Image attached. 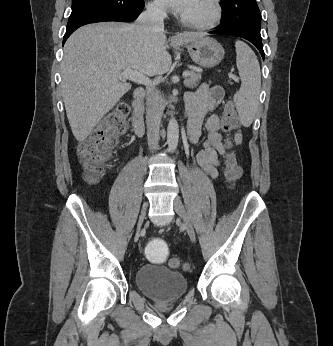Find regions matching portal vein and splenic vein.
I'll list each match as a JSON object with an SVG mask.
<instances>
[{
    "instance_id": "1",
    "label": "portal vein and splenic vein",
    "mask_w": 333,
    "mask_h": 346,
    "mask_svg": "<svg viewBox=\"0 0 333 346\" xmlns=\"http://www.w3.org/2000/svg\"><path fill=\"white\" fill-rule=\"evenodd\" d=\"M189 76V72L188 71H185L183 72V77L184 78H187ZM120 77L123 78V79H129L133 82H136V83H139V84H142V85H145V86H151L153 85L154 83H152V81L145 75L137 72V71H134L132 69H126L124 70L121 74H120Z\"/></svg>"
}]
</instances>
